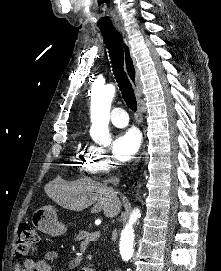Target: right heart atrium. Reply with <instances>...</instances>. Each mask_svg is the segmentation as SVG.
I'll list each match as a JSON object with an SVG mask.
<instances>
[{"label": "right heart atrium", "mask_w": 221, "mask_h": 271, "mask_svg": "<svg viewBox=\"0 0 221 271\" xmlns=\"http://www.w3.org/2000/svg\"><path fill=\"white\" fill-rule=\"evenodd\" d=\"M75 158L80 159L84 164L80 166V172L88 173L90 177L91 173H105V168L110 167V162L107 160L111 159V154H105L104 151H77Z\"/></svg>", "instance_id": "obj_1"}]
</instances>
